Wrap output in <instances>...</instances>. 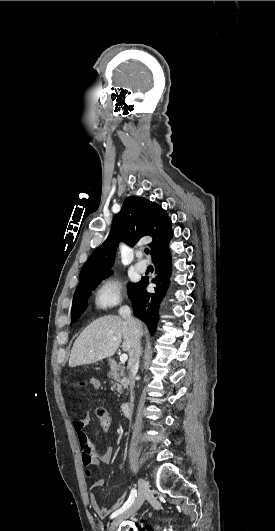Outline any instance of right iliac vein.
<instances>
[{"label":"right iliac vein","instance_id":"right-iliac-vein-1","mask_svg":"<svg viewBox=\"0 0 275 531\" xmlns=\"http://www.w3.org/2000/svg\"><path fill=\"white\" fill-rule=\"evenodd\" d=\"M148 495H149L148 483L144 479H139L137 498L134 500L132 505L127 510H125L123 513H121L119 516H117L113 520L109 528V531H115L121 521L134 515L136 511L141 507V505L143 504L144 500L146 499Z\"/></svg>","mask_w":275,"mask_h":531}]
</instances>
